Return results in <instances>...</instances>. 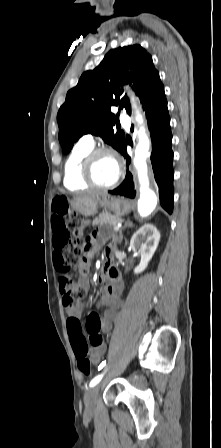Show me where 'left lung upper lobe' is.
<instances>
[{
  "instance_id": "1",
  "label": "left lung upper lobe",
  "mask_w": 221,
  "mask_h": 448,
  "mask_svg": "<svg viewBox=\"0 0 221 448\" xmlns=\"http://www.w3.org/2000/svg\"><path fill=\"white\" fill-rule=\"evenodd\" d=\"M123 84L133 85L141 103L152 92L163 87L151 55L140 45L110 50L94 69L82 74L78 84L69 90L57 115L59 141L64 153L84 134H94L120 152L125 144L121 131L114 133L118 121L111 106H119L131 114Z\"/></svg>"
}]
</instances>
